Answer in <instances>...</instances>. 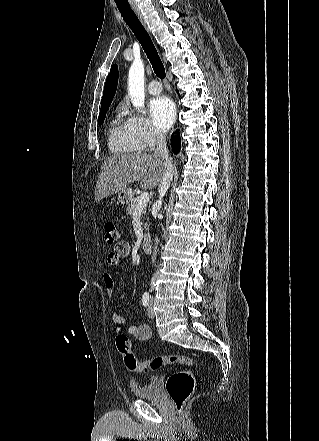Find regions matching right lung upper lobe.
Instances as JSON below:
<instances>
[{"instance_id":"obj_1","label":"right lung upper lobe","mask_w":319,"mask_h":441,"mask_svg":"<svg viewBox=\"0 0 319 441\" xmlns=\"http://www.w3.org/2000/svg\"><path fill=\"white\" fill-rule=\"evenodd\" d=\"M118 83V67L113 65L106 79L104 93L101 102V109L109 107L115 95Z\"/></svg>"}]
</instances>
